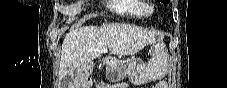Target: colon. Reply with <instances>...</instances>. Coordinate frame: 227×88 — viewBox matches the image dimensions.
Masks as SVG:
<instances>
[{"instance_id":"5ec220e1","label":"colon","mask_w":227,"mask_h":88,"mask_svg":"<svg viewBox=\"0 0 227 88\" xmlns=\"http://www.w3.org/2000/svg\"><path fill=\"white\" fill-rule=\"evenodd\" d=\"M152 88H162V86L158 84V85L153 86Z\"/></svg>"}]
</instances>
